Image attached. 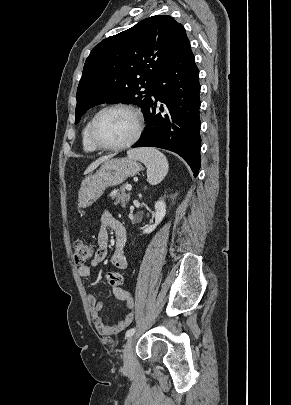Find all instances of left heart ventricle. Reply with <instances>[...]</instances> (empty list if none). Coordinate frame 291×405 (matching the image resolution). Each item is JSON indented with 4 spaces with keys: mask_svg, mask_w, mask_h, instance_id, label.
Wrapping results in <instances>:
<instances>
[{
    "mask_svg": "<svg viewBox=\"0 0 291 405\" xmlns=\"http://www.w3.org/2000/svg\"><path fill=\"white\" fill-rule=\"evenodd\" d=\"M136 130L134 116L125 110L103 113L95 126L96 138L106 145H118L129 140Z\"/></svg>",
    "mask_w": 291,
    "mask_h": 405,
    "instance_id": "obj_1",
    "label": "left heart ventricle"
}]
</instances>
